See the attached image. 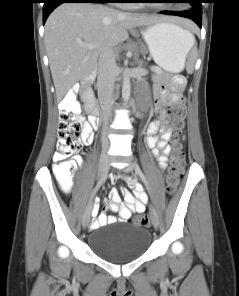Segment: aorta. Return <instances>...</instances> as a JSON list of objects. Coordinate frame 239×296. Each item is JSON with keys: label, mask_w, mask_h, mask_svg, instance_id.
Masks as SVG:
<instances>
[{"label": "aorta", "mask_w": 239, "mask_h": 296, "mask_svg": "<svg viewBox=\"0 0 239 296\" xmlns=\"http://www.w3.org/2000/svg\"><path fill=\"white\" fill-rule=\"evenodd\" d=\"M131 92V84H130V74L126 70L123 76V83H122V98L125 102L129 100Z\"/></svg>", "instance_id": "aorta-1"}]
</instances>
